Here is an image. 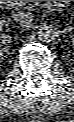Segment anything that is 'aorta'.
I'll return each instance as SVG.
<instances>
[{
  "label": "aorta",
  "instance_id": "1",
  "mask_svg": "<svg viewBox=\"0 0 74 122\" xmlns=\"http://www.w3.org/2000/svg\"><path fill=\"white\" fill-rule=\"evenodd\" d=\"M38 39L43 43H49L56 37V29L53 25L42 24L37 31Z\"/></svg>",
  "mask_w": 74,
  "mask_h": 122
}]
</instances>
